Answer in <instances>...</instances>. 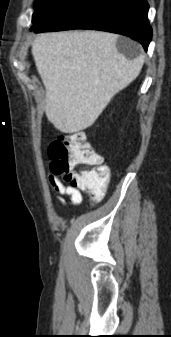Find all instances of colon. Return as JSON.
I'll use <instances>...</instances> for the list:
<instances>
[{"mask_svg": "<svg viewBox=\"0 0 171 337\" xmlns=\"http://www.w3.org/2000/svg\"><path fill=\"white\" fill-rule=\"evenodd\" d=\"M51 170L60 174L68 185L89 192L101 200L110 179L109 167L87 140L84 132L60 134L48 148Z\"/></svg>", "mask_w": 171, "mask_h": 337, "instance_id": "1", "label": "colon"}]
</instances>
